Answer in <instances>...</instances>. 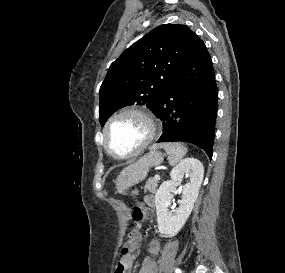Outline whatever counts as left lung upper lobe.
<instances>
[{
    "label": "left lung upper lobe",
    "instance_id": "left-lung-upper-lobe-1",
    "mask_svg": "<svg viewBox=\"0 0 285 273\" xmlns=\"http://www.w3.org/2000/svg\"><path fill=\"white\" fill-rule=\"evenodd\" d=\"M193 33L186 25H161L122 53L100 87L102 126L125 106L156 110L184 61Z\"/></svg>",
    "mask_w": 285,
    "mask_h": 273
}]
</instances>
